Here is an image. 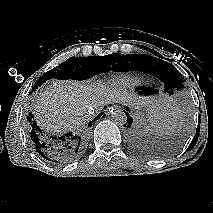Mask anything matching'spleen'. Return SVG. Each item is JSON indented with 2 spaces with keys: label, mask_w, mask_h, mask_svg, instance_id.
I'll list each match as a JSON object with an SVG mask.
<instances>
[{
  "label": "spleen",
  "mask_w": 213,
  "mask_h": 213,
  "mask_svg": "<svg viewBox=\"0 0 213 213\" xmlns=\"http://www.w3.org/2000/svg\"><path fill=\"white\" fill-rule=\"evenodd\" d=\"M174 114L166 110L157 113L155 121L152 125L160 132H170L174 129L175 124L173 122Z\"/></svg>",
  "instance_id": "3e777b00"
}]
</instances>
